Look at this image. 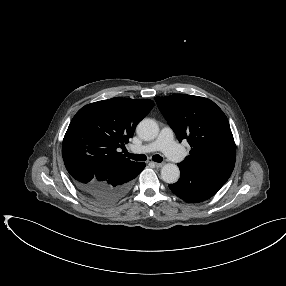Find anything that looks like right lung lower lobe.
Returning <instances> with one entry per match:
<instances>
[{"mask_svg":"<svg viewBox=\"0 0 286 286\" xmlns=\"http://www.w3.org/2000/svg\"><path fill=\"white\" fill-rule=\"evenodd\" d=\"M64 164L72 176L76 188L90 201L99 205H110L124 197L145 163L135 164L111 175H102L81 150L68 147L62 149Z\"/></svg>","mask_w":286,"mask_h":286,"instance_id":"obj_1","label":"right lung lower lobe"}]
</instances>
